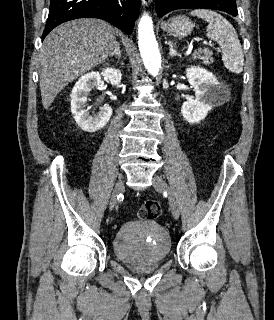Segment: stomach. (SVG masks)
<instances>
[{
  "label": "stomach",
  "instance_id": "1",
  "mask_svg": "<svg viewBox=\"0 0 274 320\" xmlns=\"http://www.w3.org/2000/svg\"><path fill=\"white\" fill-rule=\"evenodd\" d=\"M161 28L163 32H167L169 36H175V38H186L189 34H192L194 28L193 22L185 16H175L168 22H162Z\"/></svg>",
  "mask_w": 274,
  "mask_h": 320
}]
</instances>
